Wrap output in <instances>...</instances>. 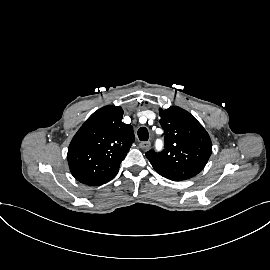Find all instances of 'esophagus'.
<instances>
[{
	"label": "esophagus",
	"instance_id": "obj_1",
	"mask_svg": "<svg viewBox=\"0 0 270 270\" xmlns=\"http://www.w3.org/2000/svg\"><path fill=\"white\" fill-rule=\"evenodd\" d=\"M151 143L149 141H144L139 144L141 149H148L150 147Z\"/></svg>",
	"mask_w": 270,
	"mask_h": 270
}]
</instances>
